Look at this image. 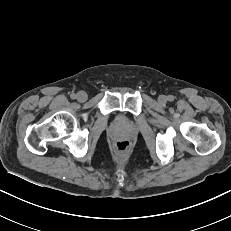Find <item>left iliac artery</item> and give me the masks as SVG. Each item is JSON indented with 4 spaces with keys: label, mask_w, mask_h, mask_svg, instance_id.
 Listing matches in <instances>:
<instances>
[{
    "label": "left iliac artery",
    "mask_w": 231,
    "mask_h": 231,
    "mask_svg": "<svg viewBox=\"0 0 231 231\" xmlns=\"http://www.w3.org/2000/svg\"><path fill=\"white\" fill-rule=\"evenodd\" d=\"M168 100H169V101H173V100H174V97L170 95V96H168Z\"/></svg>",
    "instance_id": "left-iliac-artery-1"
}]
</instances>
